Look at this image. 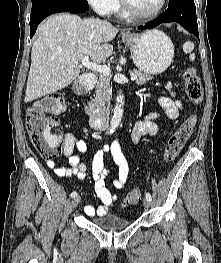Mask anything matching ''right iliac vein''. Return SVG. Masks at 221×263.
I'll return each instance as SVG.
<instances>
[{
  "instance_id": "1",
  "label": "right iliac vein",
  "mask_w": 221,
  "mask_h": 263,
  "mask_svg": "<svg viewBox=\"0 0 221 263\" xmlns=\"http://www.w3.org/2000/svg\"><path fill=\"white\" fill-rule=\"evenodd\" d=\"M81 202V197L77 196L72 200V207L75 208L77 207Z\"/></svg>"
}]
</instances>
